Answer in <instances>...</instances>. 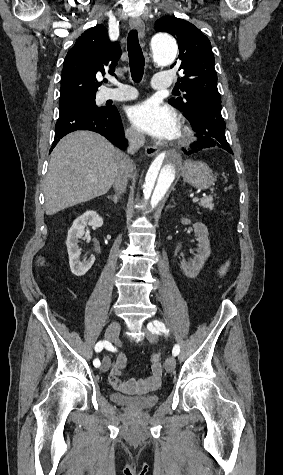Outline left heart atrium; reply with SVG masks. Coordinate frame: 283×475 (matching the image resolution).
<instances>
[{"label":"left heart atrium","mask_w":283,"mask_h":475,"mask_svg":"<svg viewBox=\"0 0 283 475\" xmlns=\"http://www.w3.org/2000/svg\"><path fill=\"white\" fill-rule=\"evenodd\" d=\"M132 127L145 135L160 140H173L179 135V122L175 111L155 100H146L128 111Z\"/></svg>","instance_id":"left-heart-atrium-1"}]
</instances>
